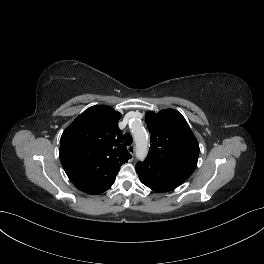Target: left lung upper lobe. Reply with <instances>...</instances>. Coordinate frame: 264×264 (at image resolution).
I'll return each instance as SVG.
<instances>
[{
  "label": "left lung upper lobe",
  "mask_w": 264,
  "mask_h": 264,
  "mask_svg": "<svg viewBox=\"0 0 264 264\" xmlns=\"http://www.w3.org/2000/svg\"><path fill=\"white\" fill-rule=\"evenodd\" d=\"M145 121L152 144L146 160L139 163L155 164L166 174L188 179L197 166L199 145L185 118L176 110L164 109L147 112Z\"/></svg>",
  "instance_id": "1"
}]
</instances>
